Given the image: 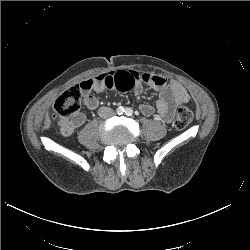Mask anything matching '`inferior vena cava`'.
I'll use <instances>...</instances> for the list:
<instances>
[{"instance_id":"inferior-vena-cava-1","label":"inferior vena cava","mask_w":250,"mask_h":250,"mask_svg":"<svg viewBox=\"0 0 250 250\" xmlns=\"http://www.w3.org/2000/svg\"><path fill=\"white\" fill-rule=\"evenodd\" d=\"M98 114L102 118H109V117L113 116L115 113H114L113 109H111L109 107H101L99 109Z\"/></svg>"}]
</instances>
